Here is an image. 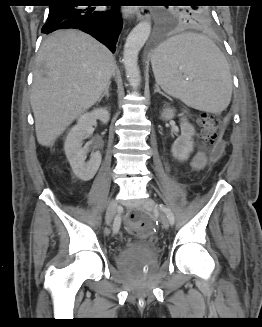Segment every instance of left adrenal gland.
<instances>
[{
    "label": "left adrenal gland",
    "instance_id": "1",
    "mask_svg": "<svg viewBox=\"0 0 262 327\" xmlns=\"http://www.w3.org/2000/svg\"><path fill=\"white\" fill-rule=\"evenodd\" d=\"M154 93H160V94L164 95V94L161 92V90L159 89V87H158L157 84L155 85Z\"/></svg>",
    "mask_w": 262,
    "mask_h": 327
}]
</instances>
